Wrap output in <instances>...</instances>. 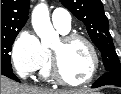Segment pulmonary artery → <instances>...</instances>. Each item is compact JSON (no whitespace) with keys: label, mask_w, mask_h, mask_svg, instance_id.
<instances>
[{"label":"pulmonary artery","mask_w":121,"mask_h":94,"mask_svg":"<svg viewBox=\"0 0 121 94\" xmlns=\"http://www.w3.org/2000/svg\"><path fill=\"white\" fill-rule=\"evenodd\" d=\"M52 22L56 28L69 30L71 27L70 13L63 8H57L52 13Z\"/></svg>","instance_id":"obj_1"}]
</instances>
